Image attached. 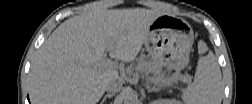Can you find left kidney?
Instances as JSON below:
<instances>
[{"label": "left kidney", "mask_w": 252, "mask_h": 104, "mask_svg": "<svg viewBox=\"0 0 252 104\" xmlns=\"http://www.w3.org/2000/svg\"><path fill=\"white\" fill-rule=\"evenodd\" d=\"M163 102L164 103H172V101H169V100H164Z\"/></svg>", "instance_id": "left-kidney-1"}]
</instances>
